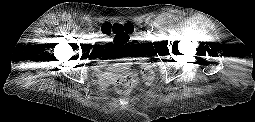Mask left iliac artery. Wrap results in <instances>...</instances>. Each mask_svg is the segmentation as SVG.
I'll return each instance as SVG.
<instances>
[{
    "label": "left iliac artery",
    "mask_w": 255,
    "mask_h": 122,
    "mask_svg": "<svg viewBox=\"0 0 255 122\" xmlns=\"http://www.w3.org/2000/svg\"><path fill=\"white\" fill-rule=\"evenodd\" d=\"M152 31H153V25H150V26L148 27L147 32H148V33H151Z\"/></svg>",
    "instance_id": "44dca946"
}]
</instances>
